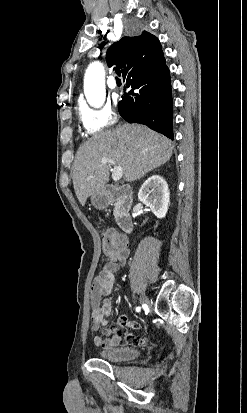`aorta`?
<instances>
[{
    "label": "aorta",
    "instance_id": "762f6f07",
    "mask_svg": "<svg viewBox=\"0 0 247 413\" xmlns=\"http://www.w3.org/2000/svg\"><path fill=\"white\" fill-rule=\"evenodd\" d=\"M84 93L87 102L93 107H100L104 103L105 70L103 65L96 61L89 65L84 78Z\"/></svg>",
    "mask_w": 247,
    "mask_h": 413
}]
</instances>
